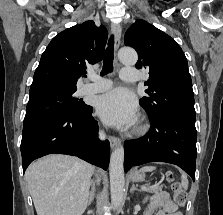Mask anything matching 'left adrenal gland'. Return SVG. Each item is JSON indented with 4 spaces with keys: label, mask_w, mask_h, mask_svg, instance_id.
Instances as JSON below:
<instances>
[{
    "label": "left adrenal gland",
    "mask_w": 223,
    "mask_h": 215,
    "mask_svg": "<svg viewBox=\"0 0 223 215\" xmlns=\"http://www.w3.org/2000/svg\"><path fill=\"white\" fill-rule=\"evenodd\" d=\"M134 189H137L135 183H132V187H130V191H134Z\"/></svg>",
    "instance_id": "1"
}]
</instances>
